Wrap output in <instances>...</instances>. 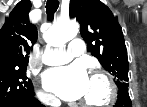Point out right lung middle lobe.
I'll list each match as a JSON object with an SVG mask.
<instances>
[{"label": "right lung middle lobe", "instance_id": "dd1d6c3e", "mask_svg": "<svg viewBox=\"0 0 147 107\" xmlns=\"http://www.w3.org/2000/svg\"><path fill=\"white\" fill-rule=\"evenodd\" d=\"M30 95L34 90L31 80H27L26 66L0 72V107Z\"/></svg>", "mask_w": 147, "mask_h": 107}]
</instances>
